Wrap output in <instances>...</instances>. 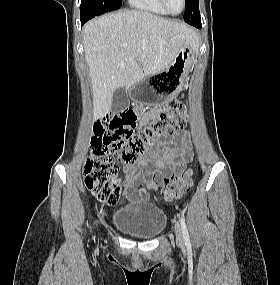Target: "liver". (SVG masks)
<instances>
[{
    "mask_svg": "<svg viewBox=\"0 0 280 285\" xmlns=\"http://www.w3.org/2000/svg\"><path fill=\"white\" fill-rule=\"evenodd\" d=\"M196 31L147 11L130 10L90 20L83 30L93 95V119L112 107L117 88L128 91L144 77L164 71L184 44L195 47Z\"/></svg>",
    "mask_w": 280,
    "mask_h": 285,
    "instance_id": "liver-1",
    "label": "liver"
}]
</instances>
